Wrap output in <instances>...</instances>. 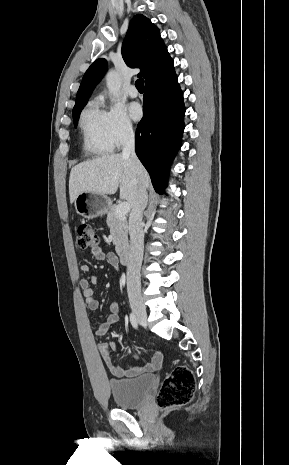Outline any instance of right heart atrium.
Masks as SVG:
<instances>
[{
	"mask_svg": "<svg viewBox=\"0 0 289 465\" xmlns=\"http://www.w3.org/2000/svg\"><path fill=\"white\" fill-rule=\"evenodd\" d=\"M105 117L107 133L113 146L120 147L134 138V127L121 105H108Z\"/></svg>",
	"mask_w": 289,
	"mask_h": 465,
	"instance_id": "obj_1",
	"label": "right heart atrium"
}]
</instances>
